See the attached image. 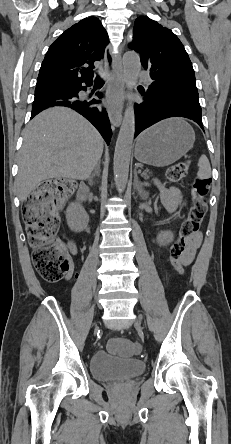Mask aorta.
Returning a JSON list of instances; mask_svg holds the SVG:
<instances>
[{"label": "aorta", "mask_w": 231, "mask_h": 444, "mask_svg": "<svg viewBox=\"0 0 231 444\" xmlns=\"http://www.w3.org/2000/svg\"><path fill=\"white\" fill-rule=\"evenodd\" d=\"M125 82L128 90L136 87L141 69L140 57L137 53L127 52L123 56ZM135 133V113L132 100L129 99L125 109L122 125L116 141L113 171L117 190L122 192L128 181L129 163Z\"/></svg>", "instance_id": "1"}]
</instances>
